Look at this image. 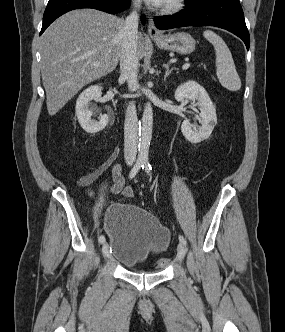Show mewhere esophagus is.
Masks as SVG:
<instances>
[{
  "instance_id": "1",
  "label": "esophagus",
  "mask_w": 285,
  "mask_h": 332,
  "mask_svg": "<svg viewBox=\"0 0 285 332\" xmlns=\"http://www.w3.org/2000/svg\"><path fill=\"white\" fill-rule=\"evenodd\" d=\"M148 34L151 38L161 37L162 35L161 32L158 30V28L155 26L152 19H149Z\"/></svg>"
}]
</instances>
